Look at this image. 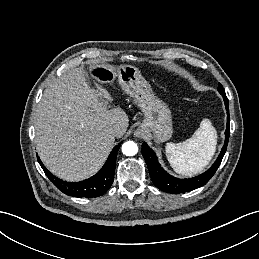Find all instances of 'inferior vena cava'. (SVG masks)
I'll return each mask as SVG.
<instances>
[{
    "mask_svg": "<svg viewBox=\"0 0 259 259\" xmlns=\"http://www.w3.org/2000/svg\"><path fill=\"white\" fill-rule=\"evenodd\" d=\"M111 133L113 135H118L120 133V127L118 125H114L112 128H111Z\"/></svg>",
    "mask_w": 259,
    "mask_h": 259,
    "instance_id": "1",
    "label": "inferior vena cava"
}]
</instances>
